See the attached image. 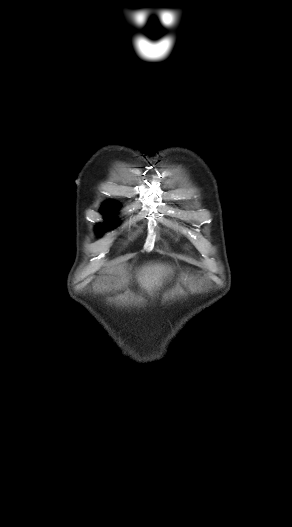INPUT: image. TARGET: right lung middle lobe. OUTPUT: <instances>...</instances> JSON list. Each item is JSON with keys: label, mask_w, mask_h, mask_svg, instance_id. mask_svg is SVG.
Wrapping results in <instances>:
<instances>
[{"label": "right lung middle lobe", "mask_w": 292, "mask_h": 527, "mask_svg": "<svg viewBox=\"0 0 292 527\" xmlns=\"http://www.w3.org/2000/svg\"><path fill=\"white\" fill-rule=\"evenodd\" d=\"M117 208L118 206H108V205H103L102 207V212L104 215H106V218L107 220H109L110 222H114V218H113V214L117 211ZM97 230H98V234H102L105 230V226H102V225H99L97 227Z\"/></svg>", "instance_id": "right-lung-middle-lobe-1"}]
</instances>
